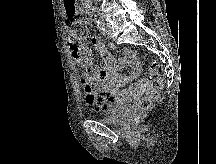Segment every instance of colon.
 <instances>
[{"label":"colon","mask_w":216,"mask_h":164,"mask_svg":"<svg viewBox=\"0 0 216 164\" xmlns=\"http://www.w3.org/2000/svg\"><path fill=\"white\" fill-rule=\"evenodd\" d=\"M163 87V67L159 61L153 60L149 66V75L124 88L114 97V101L117 104H125L132 100H139L140 113L135 118L139 122L159 97Z\"/></svg>","instance_id":"colon-1"}]
</instances>
